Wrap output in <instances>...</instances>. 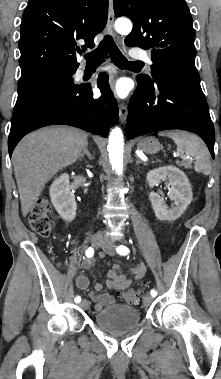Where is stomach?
<instances>
[{
    "instance_id": "1",
    "label": "stomach",
    "mask_w": 221,
    "mask_h": 379,
    "mask_svg": "<svg viewBox=\"0 0 221 379\" xmlns=\"http://www.w3.org/2000/svg\"><path fill=\"white\" fill-rule=\"evenodd\" d=\"M160 148L159 141L154 137L144 138L138 143V149L150 154L158 152Z\"/></svg>"
}]
</instances>
